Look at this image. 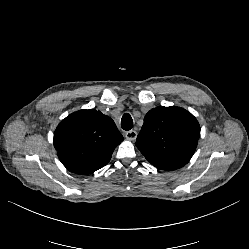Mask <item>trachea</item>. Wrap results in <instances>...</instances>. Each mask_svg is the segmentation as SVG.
I'll return each instance as SVG.
<instances>
[{"mask_svg": "<svg viewBox=\"0 0 249 249\" xmlns=\"http://www.w3.org/2000/svg\"><path fill=\"white\" fill-rule=\"evenodd\" d=\"M121 127L124 130H130L133 127V120L132 117L128 114L125 113L121 119Z\"/></svg>", "mask_w": 249, "mask_h": 249, "instance_id": "3493384b", "label": "trachea"}]
</instances>
